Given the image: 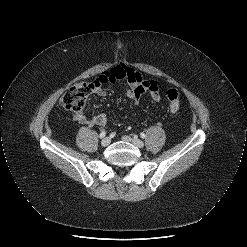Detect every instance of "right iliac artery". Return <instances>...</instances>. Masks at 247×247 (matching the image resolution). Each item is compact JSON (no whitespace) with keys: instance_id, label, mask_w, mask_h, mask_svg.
Instances as JSON below:
<instances>
[{"instance_id":"82829eb1","label":"right iliac artery","mask_w":247,"mask_h":247,"mask_svg":"<svg viewBox=\"0 0 247 247\" xmlns=\"http://www.w3.org/2000/svg\"><path fill=\"white\" fill-rule=\"evenodd\" d=\"M105 136H106V131H102V132L100 133V135H99L100 138H103V137H105Z\"/></svg>"}]
</instances>
